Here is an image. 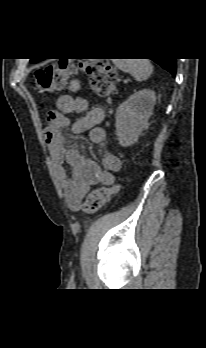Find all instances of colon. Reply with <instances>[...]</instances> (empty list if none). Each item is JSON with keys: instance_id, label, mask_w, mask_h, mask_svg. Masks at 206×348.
Wrapping results in <instances>:
<instances>
[{"instance_id": "1", "label": "colon", "mask_w": 206, "mask_h": 348, "mask_svg": "<svg viewBox=\"0 0 206 348\" xmlns=\"http://www.w3.org/2000/svg\"><path fill=\"white\" fill-rule=\"evenodd\" d=\"M78 72L88 75L91 89L99 96L109 95L117 83V72L105 59H60L54 64L36 70L34 89L40 94L52 93L59 90L71 76ZM118 190V186L96 188L86 199L83 210L87 214L96 213L111 200Z\"/></svg>"}]
</instances>
